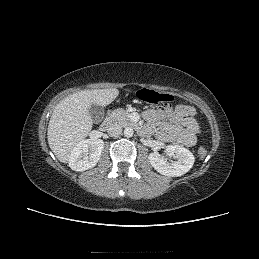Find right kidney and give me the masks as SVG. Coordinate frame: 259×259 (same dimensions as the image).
Returning a JSON list of instances; mask_svg holds the SVG:
<instances>
[{"label": "right kidney", "instance_id": "right-kidney-1", "mask_svg": "<svg viewBox=\"0 0 259 259\" xmlns=\"http://www.w3.org/2000/svg\"><path fill=\"white\" fill-rule=\"evenodd\" d=\"M103 148L101 139L81 140L71 151L69 167L77 172L93 168L100 160Z\"/></svg>", "mask_w": 259, "mask_h": 259}]
</instances>
